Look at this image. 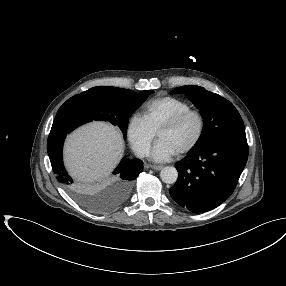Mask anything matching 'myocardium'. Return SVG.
Here are the masks:
<instances>
[{"instance_id":"f54148a6","label":"myocardium","mask_w":286,"mask_h":286,"mask_svg":"<svg viewBox=\"0 0 286 286\" xmlns=\"http://www.w3.org/2000/svg\"><path fill=\"white\" fill-rule=\"evenodd\" d=\"M191 116H195L198 120L199 123L198 132L195 138L187 146H185L178 152V154L180 155L191 152L198 146V144L202 140L206 126L205 117L203 113L200 110L190 108L182 113L173 116L172 118L164 122L157 131V136H159L160 132L177 127Z\"/></svg>"}]
</instances>
